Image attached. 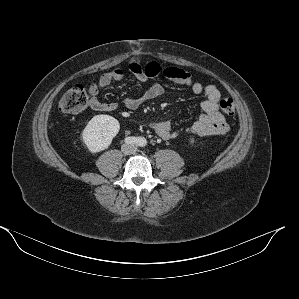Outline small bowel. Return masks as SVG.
<instances>
[{
	"mask_svg": "<svg viewBox=\"0 0 299 299\" xmlns=\"http://www.w3.org/2000/svg\"><path fill=\"white\" fill-rule=\"evenodd\" d=\"M128 71L140 82L149 79L164 77L167 80L181 86L189 87L195 94H204L205 100L201 103V114L193 125L184 133L194 136H212L224 134L229 130L223 114L219 108L221 93L215 85H203L193 80L192 75L184 69L177 67H163L157 62L141 65L131 62ZM125 76V70L116 68L102 74L99 79L90 86L89 107L95 111L113 112L119 107L117 102H102L98 98L100 91L114 81H119ZM164 93V87L159 82L152 83L140 97H125L122 104L128 109H137L144 103L160 97ZM151 129L163 140L174 139L180 132L173 129L168 120L157 121L150 124Z\"/></svg>",
	"mask_w": 299,
	"mask_h": 299,
	"instance_id": "obj_1",
	"label": "small bowel"
}]
</instances>
